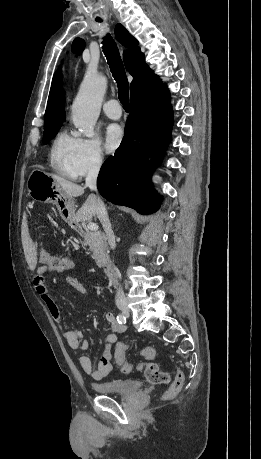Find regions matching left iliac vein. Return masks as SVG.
<instances>
[{
  "label": "left iliac vein",
  "instance_id": "left-iliac-vein-1",
  "mask_svg": "<svg viewBox=\"0 0 261 459\" xmlns=\"http://www.w3.org/2000/svg\"><path fill=\"white\" fill-rule=\"evenodd\" d=\"M125 315L128 317V316H129V313H125Z\"/></svg>",
  "mask_w": 261,
  "mask_h": 459
}]
</instances>
